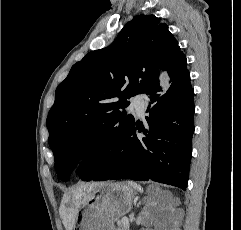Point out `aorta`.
I'll list each match as a JSON object with an SVG mask.
<instances>
[{
  "mask_svg": "<svg viewBox=\"0 0 241 230\" xmlns=\"http://www.w3.org/2000/svg\"><path fill=\"white\" fill-rule=\"evenodd\" d=\"M169 76L167 72L161 71L159 76L160 85L163 88V91H166L169 88Z\"/></svg>",
  "mask_w": 241,
  "mask_h": 230,
  "instance_id": "aorta-1",
  "label": "aorta"
}]
</instances>
